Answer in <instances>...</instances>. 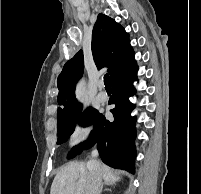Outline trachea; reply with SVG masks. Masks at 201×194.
<instances>
[{"label":"trachea","instance_id":"obj_1","mask_svg":"<svg viewBox=\"0 0 201 194\" xmlns=\"http://www.w3.org/2000/svg\"><path fill=\"white\" fill-rule=\"evenodd\" d=\"M104 84L106 89H111L110 77L109 74L104 75Z\"/></svg>","mask_w":201,"mask_h":194}]
</instances>
